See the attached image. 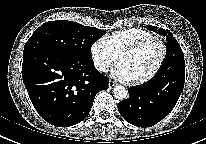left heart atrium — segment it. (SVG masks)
<instances>
[{
  "instance_id": "left-heart-atrium-1",
  "label": "left heart atrium",
  "mask_w": 206,
  "mask_h": 144,
  "mask_svg": "<svg viewBox=\"0 0 206 144\" xmlns=\"http://www.w3.org/2000/svg\"><path fill=\"white\" fill-rule=\"evenodd\" d=\"M113 75L122 81H131L133 80L132 75L125 65L119 63L113 70Z\"/></svg>"
}]
</instances>
